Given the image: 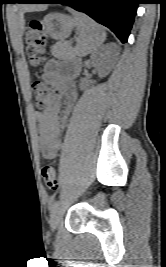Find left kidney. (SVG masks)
<instances>
[{"label":"left kidney","instance_id":"1","mask_svg":"<svg viewBox=\"0 0 166 267\" xmlns=\"http://www.w3.org/2000/svg\"><path fill=\"white\" fill-rule=\"evenodd\" d=\"M91 59L95 63L100 78L106 77L110 73L113 66V60L107 51V47L94 53L91 56ZM94 82L95 81L91 83ZM85 85L87 84H82V87H85Z\"/></svg>","mask_w":166,"mask_h":267}]
</instances>
